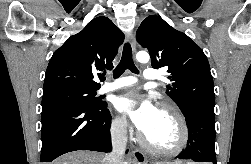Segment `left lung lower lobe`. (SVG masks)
<instances>
[{
    "label": "left lung lower lobe",
    "instance_id": "left-lung-lower-lobe-1",
    "mask_svg": "<svg viewBox=\"0 0 251 164\" xmlns=\"http://www.w3.org/2000/svg\"><path fill=\"white\" fill-rule=\"evenodd\" d=\"M188 126L187 148L177 158L217 164L214 110L194 107L183 113Z\"/></svg>",
    "mask_w": 251,
    "mask_h": 164
}]
</instances>
